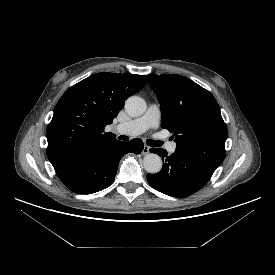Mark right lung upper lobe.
<instances>
[{"instance_id": "obj_1", "label": "right lung upper lobe", "mask_w": 275, "mask_h": 275, "mask_svg": "<svg viewBox=\"0 0 275 275\" xmlns=\"http://www.w3.org/2000/svg\"><path fill=\"white\" fill-rule=\"evenodd\" d=\"M145 75L97 73L70 87L59 99L47 128L52 165L117 142L104 132L125 100L140 91Z\"/></svg>"}]
</instances>
